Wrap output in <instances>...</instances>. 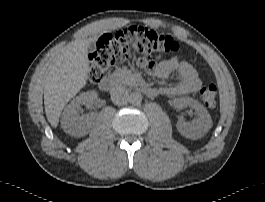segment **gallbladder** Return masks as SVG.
<instances>
[{
    "instance_id": "bac80fb5",
    "label": "gallbladder",
    "mask_w": 265,
    "mask_h": 202,
    "mask_svg": "<svg viewBox=\"0 0 265 202\" xmlns=\"http://www.w3.org/2000/svg\"><path fill=\"white\" fill-rule=\"evenodd\" d=\"M96 49V45L94 42H91L89 45H88V52H94Z\"/></svg>"
}]
</instances>
